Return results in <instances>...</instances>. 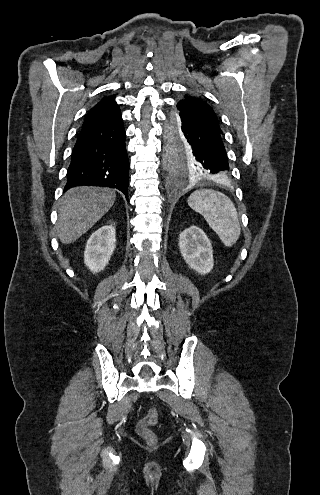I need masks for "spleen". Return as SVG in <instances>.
Segmentation results:
<instances>
[{"label":"spleen","instance_id":"spleen-1","mask_svg":"<svg viewBox=\"0 0 320 495\" xmlns=\"http://www.w3.org/2000/svg\"><path fill=\"white\" fill-rule=\"evenodd\" d=\"M188 205L201 214L226 247L239 239L241 228L233 202L223 193L212 189L194 191Z\"/></svg>","mask_w":320,"mask_h":495}]
</instances>
